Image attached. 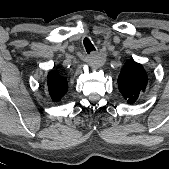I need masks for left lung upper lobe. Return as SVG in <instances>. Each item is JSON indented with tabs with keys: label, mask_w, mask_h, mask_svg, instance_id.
<instances>
[{
	"label": "left lung upper lobe",
	"mask_w": 169,
	"mask_h": 169,
	"mask_svg": "<svg viewBox=\"0 0 169 169\" xmlns=\"http://www.w3.org/2000/svg\"><path fill=\"white\" fill-rule=\"evenodd\" d=\"M148 82L143 66L128 60L118 77L119 91L128 103H134L145 90Z\"/></svg>",
	"instance_id": "1"
}]
</instances>
